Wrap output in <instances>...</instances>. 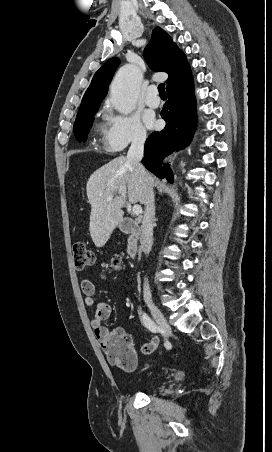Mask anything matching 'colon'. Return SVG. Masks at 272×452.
<instances>
[{
	"instance_id": "5ec220e1",
	"label": "colon",
	"mask_w": 272,
	"mask_h": 452,
	"mask_svg": "<svg viewBox=\"0 0 272 452\" xmlns=\"http://www.w3.org/2000/svg\"><path fill=\"white\" fill-rule=\"evenodd\" d=\"M72 254L74 267L78 270L94 263V254L84 242L74 243ZM110 269L113 271L122 269V262L119 256H115L112 259ZM106 353L108 361L122 370L132 371L137 365L135 351L131 345L130 338L127 336L111 337L107 341Z\"/></svg>"
}]
</instances>
